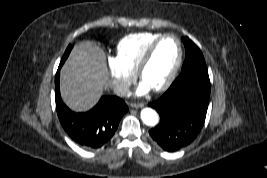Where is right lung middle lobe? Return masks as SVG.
<instances>
[{"instance_id": "obj_1", "label": "right lung middle lobe", "mask_w": 267, "mask_h": 178, "mask_svg": "<svg viewBox=\"0 0 267 178\" xmlns=\"http://www.w3.org/2000/svg\"><path fill=\"white\" fill-rule=\"evenodd\" d=\"M71 49H72V45H69V46L67 47V49H66V51H65V53H64V55H63V57H62L60 63L63 64V63L65 62V60L67 59V57H68V55H69Z\"/></svg>"}]
</instances>
